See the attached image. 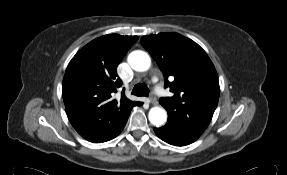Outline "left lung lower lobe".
Masks as SVG:
<instances>
[{"label":"left lung lower lobe","instance_id":"left-lung-lower-lobe-1","mask_svg":"<svg viewBox=\"0 0 287 175\" xmlns=\"http://www.w3.org/2000/svg\"><path fill=\"white\" fill-rule=\"evenodd\" d=\"M154 132L160 139L175 146L189 145L197 140V138L191 136L190 134L168 122L163 127L154 128Z\"/></svg>","mask_w":287,"mask_h":175}]
</instances>
